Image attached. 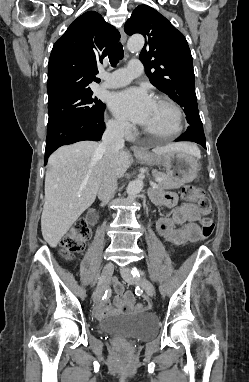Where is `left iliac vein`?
Listing matches in <instances>:
<instances>
[{"instance_id":"left-iliac-vein-1","label":"left iliac vein","mask_w":249,"mask_h":382,"mask_svg":"<svg viewBox=\"0 0 249 382\" xmlns=\"http://www.w3.org/2000/svg\"><path fill=\"white\" fill-rule=\"evenodd\" d=\"M121 275L123 279L128 283V284H134L137 283L140 285L144 291L146 292L147 295L153 296L155 293V289L153 284L145 277H140L138 279L134 278L131 273L130 269L127 267H124L121 269Z\"/></svg>"}]
</instances>
